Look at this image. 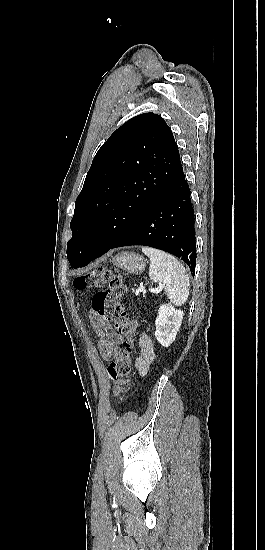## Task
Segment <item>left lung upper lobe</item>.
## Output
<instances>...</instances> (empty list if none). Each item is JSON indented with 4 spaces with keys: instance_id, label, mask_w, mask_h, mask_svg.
<instances>
[{
    "instance_id": "1",
    "label": "left lung upper lobe",
    "mask_w": 265,
    "mask_h": 550,
    "mask_svg": "<svg viewBox=\"0 0 265 550\" xmlns=\"http://www.w3.org/2000/svg\"><path fill=\"white\" fill-rule=\"evenodd\" d=\"M181 166L173 134L159 115L144 113L119 127L95 155L76 200L67 243L71 267L107 250Z\"/></svg>"
}]
</instances>
